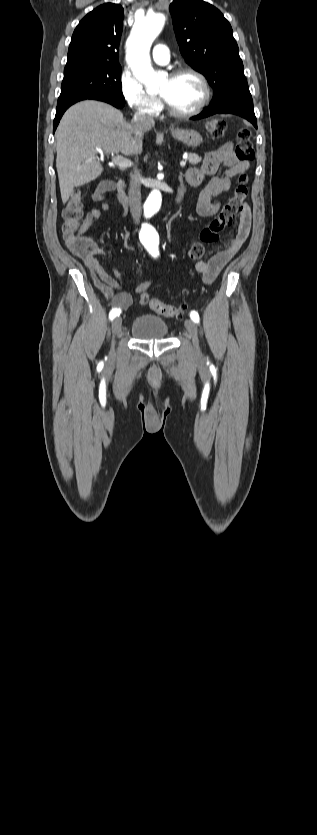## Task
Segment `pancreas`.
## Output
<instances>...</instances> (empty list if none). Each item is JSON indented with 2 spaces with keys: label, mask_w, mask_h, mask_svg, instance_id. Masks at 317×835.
Returning <instances> with one entry per match:
<instances>
[{
  "label": "pancreas",
  "mask_w": 317,
  "mask_h": 835,
  "mask_svg": "<svg viewBox=\"0 0 317 835\" xmlns=\"http://www.w3.org/2000/svg\"><path fill=\"white\" fill-rule=\"evenodd\" d=\"M187 159L189 163L192 165L198 164L202 160V158L199 155L194 153H190Z\"/></svg>",
  "instance_id": "obj_1"
}]
</instances>
